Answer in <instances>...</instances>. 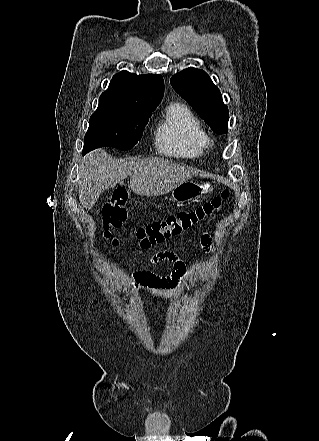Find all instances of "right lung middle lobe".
Wrapping results in <instances>:
<instances>
[{
	"instance_id": "dd1d6c3e",
	"label": "right lung middle lobe",
	"mask_w": 319,
	"mask_h": 441,
	"mask_svg": "<svg viewBox=\"0 0 319 441\" xmlns=\"http://www.w3.org/2000/svg\"><path fill=\"white\" fill-rule=\"evenodd\" d=\"M155 108H98L90 117L82 154L103 146L131 150L141 139Z\"/></svg>"
}]
</instances>
